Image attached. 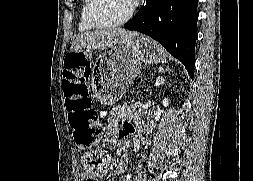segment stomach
I'll return each mask as SVG.
<instances>
[{"label": "stomach", "mask_w": 253, "mask_h": 181, "mask_svg": "<svg viewBox=\"0 0 253 181\" xmlns=\"http://www.w3.org/2000/svg\"><path fill=\"white\" fill-rule=\"evenodd\" d=\"M165 60L164 49L145 36L107 48L94 65L95 96L106 105L117 102L140 73L141 61L158 64Z\"/></svg>", "instance_id": "1"}]
</instances>
